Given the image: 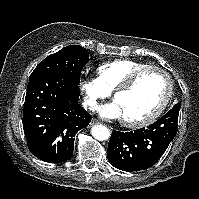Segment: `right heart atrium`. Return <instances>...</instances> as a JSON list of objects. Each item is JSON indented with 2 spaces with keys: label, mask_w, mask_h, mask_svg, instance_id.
<instances>
[{
  "label": "right heart atrium",
  "mask_w": 199,
  "mask_h": 199,
  "mask_svg": "<svg viewBox=\"0 0 199 199\" xmlns=\"http://www.w3.org/2000/svg\"><path fill=\"white\" fill-rule=\"evenodd\" d=\"M83 94V101L86 107L93 109L96 107L98 100L109 96L107 91L98 78L84 79L79 84Z\"/></svg>",
  "instance_id": "1"
}]
</instances>
